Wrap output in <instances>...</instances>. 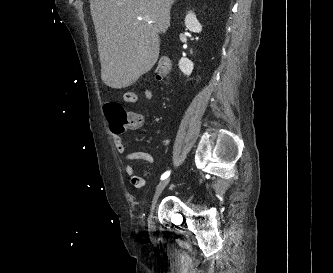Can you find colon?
Listing matches in <instances>:
<instances>
[{
    "label": "colon",
    "instance_id": "5ec220e1",
    "mask_svg": "<svg viewBox=\"0 0 333 273\" xmlns=\"http://www.w3.org/2000/svg\"><path fill=\"white\" fill-rule=\"evenodd\" d=\"M171 73V62L166 57H161L156 68V77L159 82H166ZM105 115L116 131H122L133 122L132 116L123 107L115 102L107 103L104 106Z\"/></svg>",
    "mask_w": 333,
    "mask_h": 273
}]
</instances>
